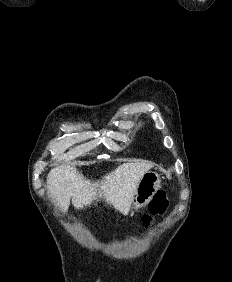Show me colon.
Wrapping results in <instances>:
<instances>
[{
  "label": "colon",
  "mask_w": 232,
  "mask_h": 282,
  "mask_svg": "<svg viewBox=\"0 0 232 282\" xmlns=\"http://www.w3.org/2000/svg\"><path fill=\"white\" fill-rule=\"evenodd\" d=\"M169 205L167 192L160 190L156 192L149 205V214L144 216V224L149 225L155 216L165 213Z\"/></svg>",
  "instance_id": "1"
}]
</instances>
